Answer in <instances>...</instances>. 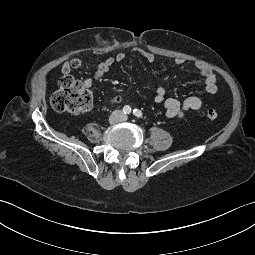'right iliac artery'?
Masks as SVG:
<instances>
[{"label": "right iliac artery", "mask_w": 255, "mask_h": 255, "mask_svg": "<svg viewBox=\"0 0 255 255\" xmlns=\"http://www.w3.org/2000/svg\"><path fill=\"white\" fill-rule=\"evenodd\" d=\"M123 112L125 114H129L131 112V107L129 105L124 106Z\"/></svg>", "instance_id": "82829eb1"}]
</instances>
